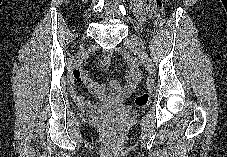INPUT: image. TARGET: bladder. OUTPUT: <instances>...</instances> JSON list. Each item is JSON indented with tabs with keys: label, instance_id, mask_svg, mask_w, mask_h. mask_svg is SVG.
<instances>
[{
	"label": "bladder",
	"instance_id": "1",
	"mask_svg": "<svg viewBox=\"0 0 227 157\" xmlns=\"http://www.w3.org/2000/svg\"><path fill=\"white\" fill-rule=\"evenodd\" d=\"M125 111H126V108L124 106H116V107L106 108L103 112L108 114H116V113H123Z\"/></svg>",
	"mask_w": 227,
	"mask_h": 157
}]
</instances>
